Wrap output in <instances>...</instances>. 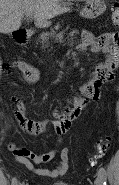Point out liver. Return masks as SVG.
<instances>
[{"mask_svg":"<svg viewBox=\"0 0 119 185\" xmlns=\"http://www.w3.org/2000/svg\"><path fill=\"white\" fill-rule=\"evenodd\" d=\"M68 10L58 0H0V33L17 31L24 13H33L36 26L47 27L50 19Z\"/></svg>","mask_w":119,"mask_h":185,"instance_id":"1","label":"liver"}]
</instances>
